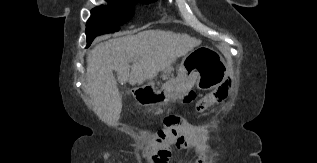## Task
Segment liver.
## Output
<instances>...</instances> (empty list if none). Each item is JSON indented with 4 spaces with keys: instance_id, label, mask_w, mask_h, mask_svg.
<instances>
[{
    "instance_id": "1",
    "label": "liver",
    "mask_w": 317,
    "mask_h": 163,
    "mask_svg": "<svg viewBox=\"0 0 317 163\" xmlns=\"http://www.w3.org/2000/svg\"><path fill=\"white\" fill-rule=\"evenodd\" d=\"M200 44L201 40L187 34L164 30L98 43L86 59L88 93L96 115L109 126H116L120 119L122 96L114 71L121 82L142 85Z\"/></svg>"
}]
</instances>
